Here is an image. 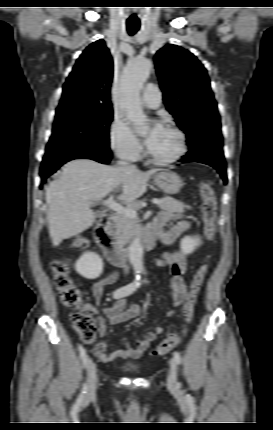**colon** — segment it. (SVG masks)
I'll return each mask as SVG.
<instances>
[{"label":"colon","instance_id":"1","mask_svg":"<svg viewBox=\"0 0 273 430\" xmlns=\"http://www.w3.org/2000/svg\"><path fill=\"white\" fill-rule=\"evenodd\" d=\"M200 194L202 197L201 214L204 223V231L208 240L212 241L215 236V221L217 217V200L213 188L207 183H201ZM76 248H84L86 240L76 238L73 241ZM208 259L197 269L190 284L186 302L183 307V316L186 324H190L194 316V308L197 298L209 268ZM51 269L54 276V284L60 294L63 304L73 308L71 316L72 325L81 339L86 343H91L97 334V324L94 318V310L83 302L81 290L74 284L70 272L68 261L64 259H54L51 262ZM178 332L170 333L153 351L154 355H164L173 350L180 342Z\"/></svg>","mask_w":273,"mask_h":430}]
</instances>
